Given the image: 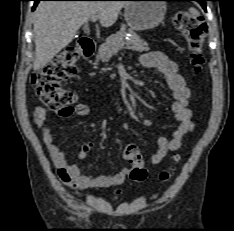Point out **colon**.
Here are the masks:
<instances>
[{
	"label": "colon",
	"instance_id": "obj_1",
	"mask_svg": "<svg viewBox=\"0 0 234 231\" xmlns=\"http://www.w3.org/2000/svg\"><path fill=\"white\" fill-rule=\"evenodd\" d=\"M173 22L186 40L192 66L196 71H200L204 63L202 48L207 33L206 23L186 11L176 13ZM77 56L75 48H65L41 70L32 75L31 82L36 94L53 110L69 109L76 100L75 94L62 87L61 82L76 75ZM123 158L132 165L130 170L132 180L142 181L146 178L147 170L136 145H127L123 150ZM173 171L174 167L163 171L160 179L168 180Z\"/></svg>",
	"mask_w": 234,
	"mask_h": 231
}]
</instances>
